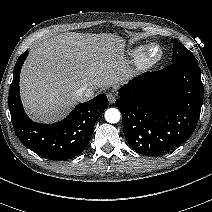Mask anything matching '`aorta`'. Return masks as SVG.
Listing matches in <instances>:
<instances>
[{"mask_svg": "<svg viewBox=\"0 0 212 212\" xmlns=\"http://www.w3.org/2000/svg\"><path fill=\"white\" fill-rule=\"evenodd\" d=\"M104 117L108 123L115 124L119 122L121 118V113L116 108H108L105 111Z\"/></svg>", "mask_w": 212, "mask_h": 212, "instance_id": "762f6f07", "label": "aorta"}]
</instances>
